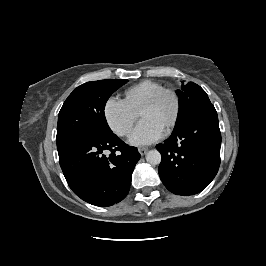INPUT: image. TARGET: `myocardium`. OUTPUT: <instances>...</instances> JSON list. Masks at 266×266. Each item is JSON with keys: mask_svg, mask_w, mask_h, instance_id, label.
<instances>
[{"mask_svg": "<svg viewBox=\"0 0 266 266\" xmlns=\"http://www.w3.org/2000/svg\"><path fill=\"white\" fill-rule=\"evenodd\" d=\"M169 94L172 96L174 103H175V108H174V113L173 116L171 118V120L168 122V124L166 125L165 129L166 130H170L171 128H173L175 126V124L178 121L179 115H180V110H181V102H180V97L178 95V93L171 88H162L160 90H158L157 92H155L143 105V107L140 110V114L141 112L148 108L151 107L153 105H155L164 95Z\"/></svg>", "mask_w": 266, "mask_h": 266, "instance_id": "myocardium-1", "label": "myocardium"}]
</instances>
